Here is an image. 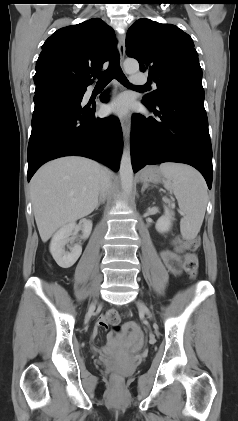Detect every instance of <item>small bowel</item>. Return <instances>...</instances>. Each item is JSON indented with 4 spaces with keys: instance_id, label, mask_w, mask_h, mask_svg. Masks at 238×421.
<instances>
[{
    "instance_id": "c3829d8e",
    "label": "small bowel",
    "mask_w": 238,
    "mask_h": 421,
    "mask_svg": "<svg viewBox=\"0 0 238 421\" xmlns=\"http://www.w3.org/2000/svg\"><path fill=\"white\" fill-rule=\"evenodd\" d=\"M174 245L175 247L173 250H163L160 255L168 270L172 273H178L181 266L179 253L183 250V247L177 239L174 240ZM115 313H117L115 310H109L106 314L100 316L93 329L94 336H97L101 329H106L108 325L111 324L110 316ZM126 327L131 331V341L138 342L140 340V329L138 325L135 322H129L126 324ZM109 341L112 344L115 343V340L111 335L109 336Z\"/></svg>"
}]
</instances>
